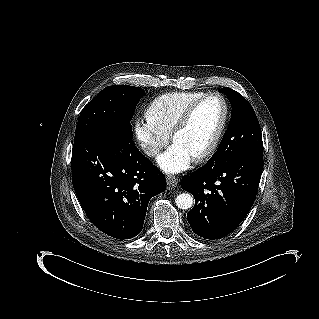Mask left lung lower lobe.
Listing matches in <instances>:
<instances>
[{"label": "left lung lower lobe", "mask_w": 319, "mask_h": 319, "mask_svg": "<svg viewBox=\"0 0 319 319\" xmlns=\"http://www.w3.org/2000/svg\"><path fill=\"white\" fill-rule=\"evenodd\" d=\"M262 169L263 152H254L226 162H207L185 175L181 187L195 198L187 214L193 232L216 240L234 231L255 201Z\"/></svg>", "instance_id": "1"}]
</instances>
